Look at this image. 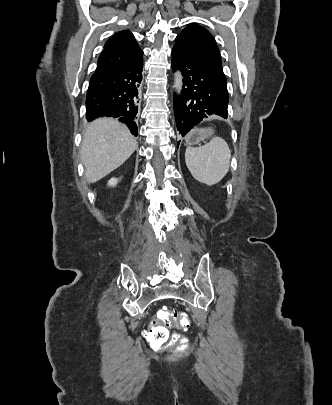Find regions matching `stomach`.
<instances>
[{"label":"stomach","instance_id":"stomach-1","mask_svg":"<svg viewBox=\"0 0 332 405\" xmlns=\"http://www.w3.org/2000/svg\"><path fill=\"white\" fill-rule=\"evenodd\" d=\"M213 134L214 132L210 128H196L186 137V144L188 146L199 144V142L211 138Z\"/></svg>","mask_w":332,"mask_h":405}]
</instances>
